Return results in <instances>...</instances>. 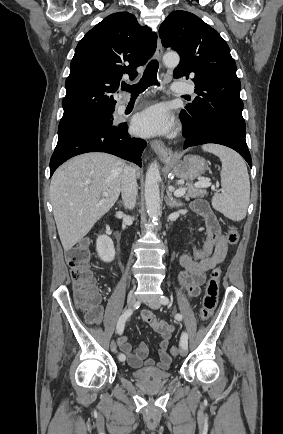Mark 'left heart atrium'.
<instances>
[{
    "instance_id": "obj_1",
    "label": "left heart atrium",
    "mask_w": 283,
    "mask_h": 434,
    "mask_svg": "<svg viewBox=\"0 0 283 434\" xmlns=\"http://www.w3.org/2000/svg\"><path fill=\"white\" fill-rule=\"evenodd\" d=\"M174 127V118L164 104L152 105L137 115L133 129L141 136H155L169 133Z\"/></svg>"
}]
</instances>
